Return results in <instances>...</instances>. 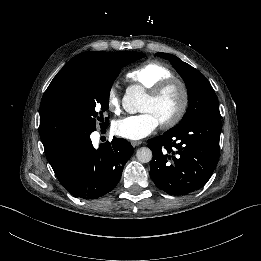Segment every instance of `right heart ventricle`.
<instances>
[{
    "instance_id": "right-heart-ventricle-1",
    "label": "right heart ventricle",
    "mask_w": 261,
    "mask_h": 261,
    "mask_svg": "<svg viewBox=\"0 0 261 261\" xmlns=\"http://www.w3.org/2000/svg\"><path fill=\"white\" fill-rule=\"evenodd\" d=\"M127 77L145 90L151 91L159 82L174 77V74L165 64L150 60L131 70Z\"/></svg>"
}]
</instances>
